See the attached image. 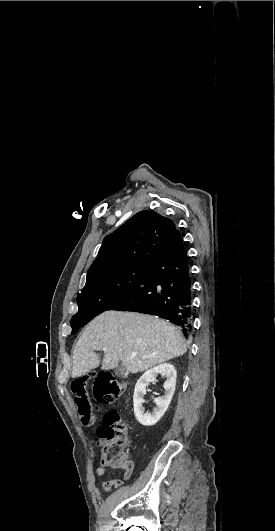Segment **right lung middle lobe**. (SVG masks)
Returning <instances> with one entry per match:
<instances>
[{"label": "right lung middle lobe", "mask_w": 275, "mask_h": 531, "mask_svg": "<svg viewBox=\"0 0 275 531\" xmlns=\"http://www.w3.org/2000/svg\"><path fill=\"white\" fill-rule=\"evenodd\" d=\"M145 268L137 265L118 269L86 283L77 297L79 309L71 320L72 333L122 300Z\"/></svg>", "instance_id": "1"}]
</instances>
